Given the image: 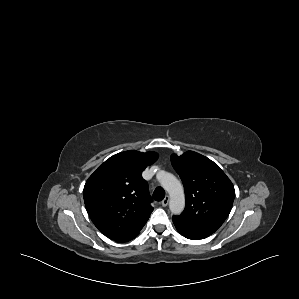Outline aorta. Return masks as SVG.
<instances>
[{"label": "aorta", "mask_w": 299, "mask_h": 299, "mask_svg": "<svg viewBox=\"0 0 299 299\" xmlns=\"http://www.w3.org/2000/svg\"><path fill=\"white\" fill-rule=\"evenodd\" d=\"M161 186L170 196L169 208L172 214H180L185 207V195L180 181L171 173L161 171L157 174Z\"/></svg>", "instance_id": "aorta-1"}]
</instances>
